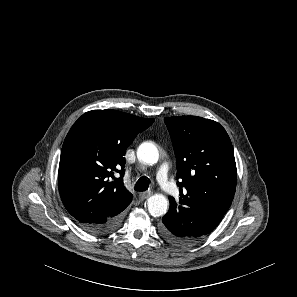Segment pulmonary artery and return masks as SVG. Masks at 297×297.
<instances>
[{
    "label": "pulmonary artery",
    "mask_w": 297,
    "mask_h": 297,
    "mask_svg": "<svg viewBox=\"0 0 297 297\" xmlns=\"http://www.w3.org/2000/svg\"><path fill=\"white\" fill-rule=\"evenodd\" d=\"M168 170L169 165L167 163H163L158 169L157 180L168 194L173 195L176 192V186L169 180Z\"/></svg>",
    "instance_id": "1"
}]
</instances>
